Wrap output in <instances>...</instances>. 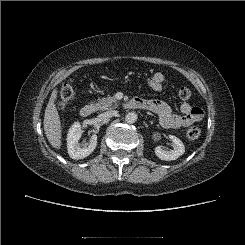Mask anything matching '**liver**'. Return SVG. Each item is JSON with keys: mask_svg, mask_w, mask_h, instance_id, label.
I'll list each match as a JSON object with an SVG mask.
<instances>
[{"mask_svg": "<svg viewBox=\"0 0 245 245\" xmlns=\"http://www.w3.org/2000/svg\"><path fill=\"white\" fill-rule=\"evenodd\" d=\"M57 93V89H54L51 93L49 102L46 106L43 124L49 143L53 146V148L60 149L62 145V128L60 116L55 104Z\"/></svg>", "mask_w": 245, "mask_h": 245, "instance_id": "6515ba94", "label": "liver"}]
</instances>
